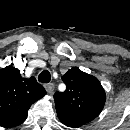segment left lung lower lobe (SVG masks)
<instances>
[{"mask_svg": "<svg viewBox=\"0 0 130 130\" xmlns=\"http://www.w3.org/2000/svg\"><path fill=\"white\" fill-rule=\"evenodd\" d=\"M60 121L68 126V127H72V128H78L82 125L85 124V122L81 121V120H77V119H71V118H68V117H63L61 115H58Z\"/></svg>", "mask_w": 130, "mask_h": 130, "instance_id": "obj_1", "label": "left lung lower lobe"}]
</instances>
